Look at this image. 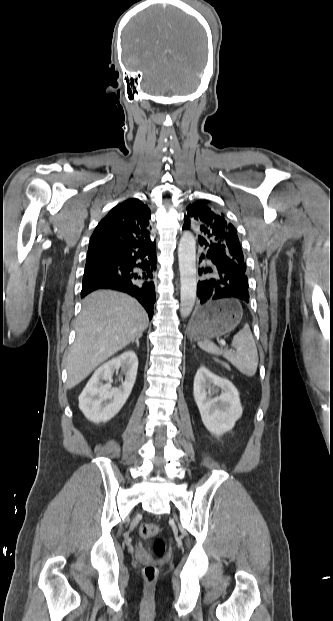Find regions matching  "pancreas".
Masks as SVG:
<instances>
[{
	"label": "pancreas",
	"mask_w": 333,
	"mask_h": 621,
	"mask_svg": "<svg viewBox=\"0 0 333 621\" xmlns=\"http://www.w3.org/2000/svg\"><path fill=\"white\" fill-rule=\"evenodd\" d=\"M215 361H216V362H218V363H220V364H222V366H224L226 369L230 370V366H229L227 363L222 362V361H220V360H218V359H215Z\"/></svg>",
	"instance_id": "cf45deb5"
}]
</instances>
